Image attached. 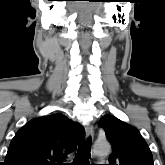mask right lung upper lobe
I'll return each instance as SVG.
<instances>
[{
	"mask_svg": "<svg viewBox=\"0 0 165 165\" xmlns=\"http://www.w3.org/2000/svg\"><path fill=\"white\" fill-rule=\"evenodd\" d=\"M84 136V128L62 114L32 119L15 134L3 165L62 164Z\"/></svg>",
	"mask_w": 165,
	"mask_h": 165,
	"instance_id": "obj_1",
	"label": "right lung upper lobe"
}]
</instances>
